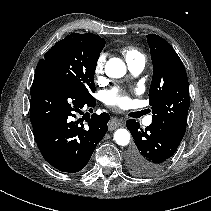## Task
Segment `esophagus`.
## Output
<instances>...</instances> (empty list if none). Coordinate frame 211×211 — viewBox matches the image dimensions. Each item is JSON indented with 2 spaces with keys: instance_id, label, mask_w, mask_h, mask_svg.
<instances>
[{
  "instance_id": "esophagus-1",
  "label": "esophagus",
  "mask_w": 211,
  "mask_h": 211,
  "mask_svg": "<svg viewBox=\"0 0 211 211\" xmlns=\"http://www.w3.org/2000/svg\"><path fill=\"white\" fill-rule=\"evenodd\" d=\"M121 125H122V119L117 118V117L111 118L110 121L108 122L109 130H114V129L118 128Z\"/></svg>"
}]
</instances>
